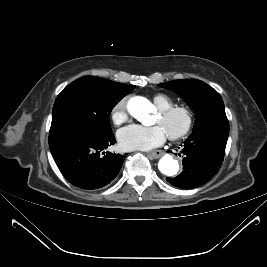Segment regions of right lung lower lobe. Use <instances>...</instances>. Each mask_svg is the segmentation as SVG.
Masks as SVG:
<instances>
[{"label": "right lung lower lobe", "instance_id": "98d812e1", "mask_svg": "<svg viewBox=\"0 0 267 267\" xmlns=\"http://www.w3.org/2000/svg\"><path fill=\"white\" fill-rule=\"evenodd\" d=\"M115 142L113 133L83 129H66L49 135L51 153L63 176L72 185L86 190L102 188L118 175L126 154H101Z\"/></svg>", "mask_w": 267, "mask_h": 267}]
</instances>
